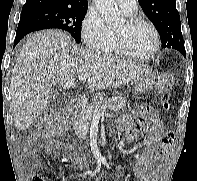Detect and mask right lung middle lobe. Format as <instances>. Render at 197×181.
<instances>
[{
    "label": "right lung middle lobe",
    "instance_id": "1",
    "mask_svg": "<svg viewBox=\"0 0 197 181\" xmlns=\"http://www.w3.org/2000/svg\"><path fill=\"white\" fill-rule=\"evenodd\" d=\"M87 9H69L47 6H36L22 9L21 18H27L48 28H57L68 31L77 43L81 42V25Z\"/></svg>",
    "mask_w": 197,
    "mask_h": 181
}]
</instances>
